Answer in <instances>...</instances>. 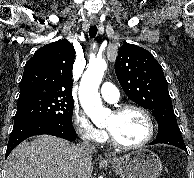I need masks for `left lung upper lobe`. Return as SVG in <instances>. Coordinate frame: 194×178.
<instances>
[{
	"mask_svg": "<svg viewBox=\"0 0 194 178\" xmlns=\"http://www.w3.org/2000/svg\"><path fill=\"white\" fill-rule=\"evenodd\" d=\"M115 72L126 95L151 110L158 124L176 119L162 67L150 52L125 43L119 49Z\"/></svg>",
	"mask_w": 194,
	"mask_h": 178,
	"instance_id": "5c2ea615",
	"label": "left lung upper lobe"
}]
</instances>
